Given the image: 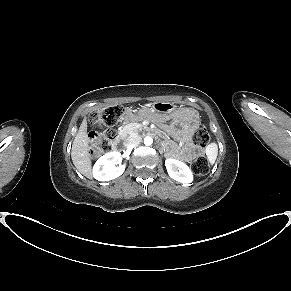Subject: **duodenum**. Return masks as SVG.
I'll return each mask as SVG.
<instances>
[{"instance_id": "1", "label": "duodenum", "mask_w": 291, "mask_h": 291, "mask_svg": "<svg viewBox=\"0 0 291 291\" xmlns=\"http://www.w3.org/2000/svg\"><path fill=\"white\" fill-rule=\"evenodd\" d=\"M135 129H142V132H145V134H150V137H156V140H159V144H167V139H165V137H162V135H156V132H151V129L142 127V124H131L126 127V132H132V130ZM124 134L125 129L118 130V135L115 136V142H120ZM123 140H126V137H123ZM121 145H124V142H121ZM117 149H120V146H117Z\"/></svg>"}]
</instances>
